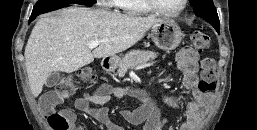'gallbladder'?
<instances>
[{"instance_id":"bac80fb5","label":"gallbladder","mask_w":257,"mask_h":130,"mask_svg":"<svg viewBox=\"0 0 257 130\" xmlns=\"http://www.w3.org/2000/svg\"><path fill=\"white\" fill-rule=\"evenodd\" d=\"M59 80H60V74L58 72H53L47 78L45 85L46 87L51 88L55 86L59 82Z\"/></svg>"}]
</instances>
